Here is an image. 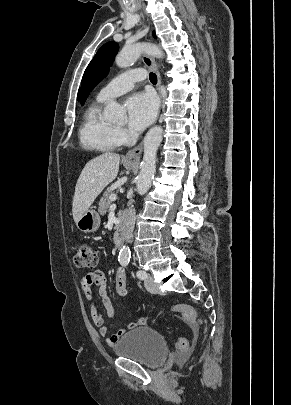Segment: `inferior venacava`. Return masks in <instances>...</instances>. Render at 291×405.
Listing matches in <instances>:
<instances>
[{"mask_svg":"<svg viewBox=\"0 0 291 405\" xmlns=\"http://www.w3.org/2000/svg\"><path fill=\"white\" fill-rule=\"evenodd\" d=\"M135 224V209L129 207L127 218L123 227L124 237L127 242H130Z\"/></svg>","mask_w":291,"mask_h":405,"instance_id":"inferior-vena-cava-1","label":"inferior vena cava"}]
</instances>
